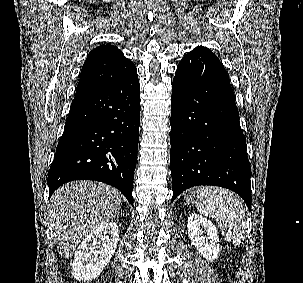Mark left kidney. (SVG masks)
I'll return each mask as SVG.
<instances>
[{
	"label": "left kidney",
	"instance_id": "1",
	"mask_svg": "<svg viewBox=\"0 0 303 283\" xmlns=\"http://www.w3.org/2000/svg\"><path fill=\"white\" fill-rule=\"evenodd\" d=\"M187 231L191 243L203 257L210 261L218 257L219 236L211 221L192 213L188 218Z\"/></svg>",
	"mask_w": 303,
	"mask_h": 283
}]
</instances>
